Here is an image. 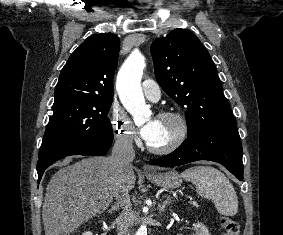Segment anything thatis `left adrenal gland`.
<instances>
[{
  "label": "left adrenal gland",
  "instance_id": "1",
  "mask_svg": "<svg viewBox=\"0 0 283 235\" xmlns=\"http://www.w3.org/2000/svg\"><path fill=\"white\" fill-rule=\"evenodd\" d=\"M163 198H165L163 203L158 205V210H159L160 214L165 211L166 205L170 204L172 202V198H171L170 195H165V196H163Z\"/></svg>",
  "mask_w": 283,
  "mask_h": 235
}]
</instances>
